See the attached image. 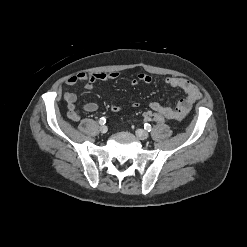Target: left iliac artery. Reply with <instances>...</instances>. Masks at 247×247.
I'll return each mask as SVG.
<instances>
[{"label":"left iliac artery","mask_w":247,"mask_h":247,"mask_svg":"<svg viewBox=\"0 0 247 247\" xmlns=\"http://www.w3.org/2000/svg\"><path fill=\"white\" fill-rule=\"evenodd\" d=\"M144 128H145V130H147L148 132L151 131V129H152L151 125L148 124V123H145V124H144Z\"/></svg>","instance_id":"44dca946"}]
</instances>
